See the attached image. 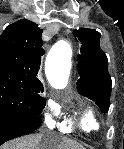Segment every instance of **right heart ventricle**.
Instances as JSON below:
<instances>
[{
    "instance_id": "right-heart-ventricle-1",
    "label": "right heart ventricle",
    "mask_w": 124,
    "mask_h": 149,
    "mask_svg": "<svg viewBox=\"0 0 124 149\" xmlns=\"http://www.w3.org/2000/svg\"><path fill=\"white\" fill-rule=\"evenodd\" d=\"M77 126L82 132L87 135H93L101 130V123L95 112L91 108L85 109L76 122L67 120L60 125L63 132H71Z\"/></svg>"
}]
</instances>
